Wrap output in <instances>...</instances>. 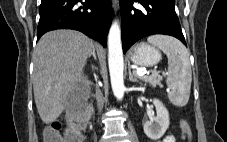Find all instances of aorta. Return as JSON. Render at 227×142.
Here are the masks:
<instances>
[{
	"label": "aorta",
	"mask_w": 227,
	"mask_h": 142,
	"mask_svg": "<svg viewBox=\"0 0 227 142\" xmlns=\"http://www.w3.org/2000/svg\"><path fill=\"white\" fill-rule=\"evenodd\" d=\"M108 64L111 86L116 98L121 100L124 96L125 86L123 81V51L121 31L117 21L113 22L108 34Z\"/></svg>",
	"instance_id": "aorta-1"
}]
</instances>
